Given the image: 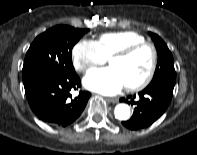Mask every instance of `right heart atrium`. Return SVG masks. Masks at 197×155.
I'll return each mask as SVG.
<instances>
[{
  "label": "right heart atrium",
  "mask_w": 197,
  "mask_h": 155,
  "mask_svg": "<svg viewBox=\"0 0 197 155\" xmlns=\"http://www.w3.org/2000/svg\"><path fill=\"white\" fill-rule=\"evenodd\" d=\"M74 68L81 73L106 63L107 57L95 40L81 39L72 49Z\"/></svg>",
  "instance_id": "obj_1"
}]
</instances>
